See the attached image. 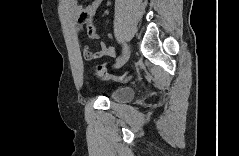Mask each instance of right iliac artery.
<instances>
[{"label":"right iliac artery","instance_id":"obj_1","mask_svg":"<svg viewBox=\"0 0 239 156\" xmlns=\"http://www.w3.org/2000/svg\"><path fill=\"white\" fill-rule=\"evenodd\" d=\"M126 49H127V45H126V43H123L122 55L124 54V52L126 51ZM122 55H121V56H122ZM121 56H120V57H121ZM120 57H119V58H120ZM119 58H118V59H119Z\"/></svg>","mask_w":239,"mask_h":156}]
</instances>
